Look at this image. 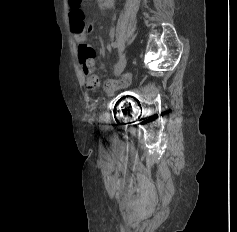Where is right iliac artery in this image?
Masks as SVG:
<instances>
[{"label":"right iliac artery","mask_w":237,"mask_h":232,"mask_svg":"<svg viewBox=\"0 0 237 232\" xmlns=\"http://www.w3.org/2000/svg\"><path fill=\"white\" fill-rule=\"evenodd\" d=\"M111 46L115 48V47L118 46V44H117L116 42H112V43H111Z\"/></svg>","instance_id":"82829eb1"}]
</instances>
